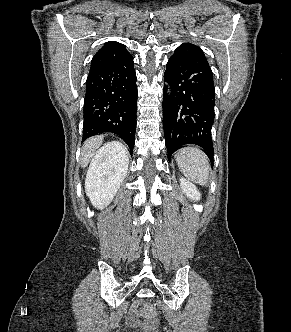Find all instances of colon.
I'll return each mask as SVG.
<instances>
[{"mask_svg":"<svg viewBox=\"0 0 291 332\" xmlns=\"http://www.w3.org/2000/svg\"><path fill=\"white\" fill-rule=\"evenodd\" d=\"M141 310L146 316H148L150 318V321H149L150 328H149L148 332H157L155 330L154 318L156 316V312H155L154 307L150 303H144L141 307Z\"/></svg>","mask_w":291,"mask_h":332,"instance_id":"obj_1","label":"colon"}]
</instances>
